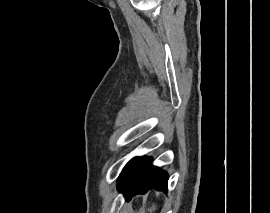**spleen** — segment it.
<instances>
[{
	"mask_svg": "<svg viewBox=\"0 0 270 213\" xmlns=\"http://www.w3.org/2000/svg\"><path fill=\"white\" fill-rule=\"evenodd\" d=\"M154 209H155V207L152 206V207L149 209L150 213H152V211H153Z\"/></svg>",
	"mask_w": 270,
	"mask_h": 213,
	"instance_id": "obj_1",
	"label": "spleen"
}]
</instances>
